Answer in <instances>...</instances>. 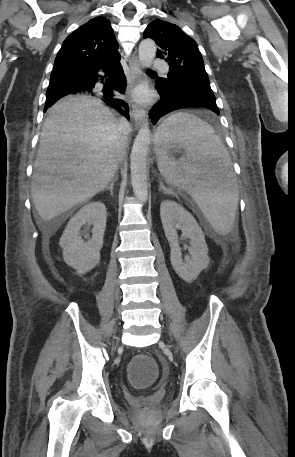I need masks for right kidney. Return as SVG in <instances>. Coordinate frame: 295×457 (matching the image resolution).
<instances>
[{
  "label": "right kidney",
  "instance_id": "obj_1",
  "mask_svg": "<svg viewBox=\"0 0 295 457\" xmlns=\"http://www.w3.org/2000/svg\"><path fill=\"white\" fill-rule=\"evenodd\" d=\"M106 218L105 205L100 201L91 202L70 219L62 234L59 244L63 248L64 261L79 274L90 271L100 261ZM88 225H93L92 238L84 242L80 230Z\"/></svg>",
  "mask_w": 295,
  "mask_h": 457
}]
</instances>
